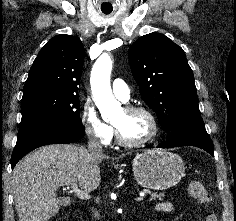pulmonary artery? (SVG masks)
Wrapping results in <instances>:
<instances>
[{
	"label": "pulmonary artery",
	"instance_id": "pulmonary-artery-1",
	"mask_svg": "<svg viewBox=\"0 0 236 221\" xmlns=\"http://www.w3.org/2000/svg\"><path fill=\"white\" fill-rule=\"evenodd\" d=\"M112 91L114 95L122 101H127L130 96V87L120 78H116L112 82Z\"/></svg>",
	"mask_w": 236,
	"mask_h": 221
}]
</instances>
